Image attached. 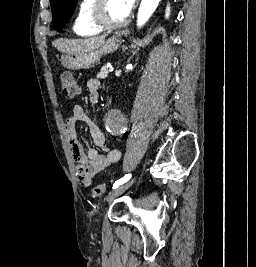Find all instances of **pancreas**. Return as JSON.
I'll use <instances>...</instances> for the list:
<instances>
[{"label": "pancreas", "instance_id": "cf45deb5", "mask_svg": "<svg viewBox=\"0 0 256 267\" xmlns=\"http://www.w3.org/2000/svg\"><path fill=\"white\" fill-rule=\"evenodd\" d=\"M108 74H109V70H108L107 66H103V68H102L100 74H98V76H99V78H107Z\"/></svg>", "mask_w": 256, "mask_h": 267}]
</instances>
